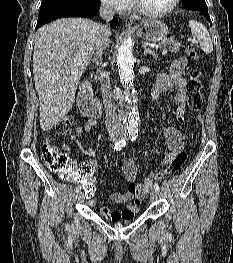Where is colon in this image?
Returning a JSON list of instances; mask_svg holds the SVG:
<instances>
[{"mask_svg":"<svg viewBox=\"0 0 233 263\" xmlns=\"http://www.w3.org/2000/svg\"><path fill=\"white\" fill-rule=\"evenodd\" d=\"M186 53L193 60L198 59V52L191 47L186 48ZM189 81L187 83V93L189 98V109L198 111L202 108L203 100L201 96L200 72L191 68L188 70ZM73 128V119L70 116L63 117L54 127L56 136L68 135ZM42 159L50 171L60 174V180H73L79 184V195H93L94 184L91 181L96 176V171H74L75 164L69 157L60 152L59 149L49 140L42 144ZM186 161V154L181 152L167 165L164 172L153 171L149 175L151 181L163 175H169L178 171Z\"/></svg>","mask_w":233,"mask_h":263,"instance_id":"1","label":"colon"}]
</instances>
